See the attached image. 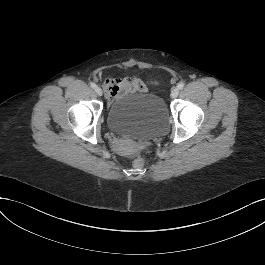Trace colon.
<instances>
[{
  "label": "colon",
  "instance_id": "obj_1",
  "mask_svg": "<svg viewBox=\"0 0 265 265\" xmlns=\"http://www.w3.org/2000/svg\"><path fill=\"white\" fill-rule=\"evenodd\" d=\"M150 152V148L149 147H144L142 149V155L137 157L133 164L136 168H141L144 164H145V156Z\"/></svg>",
  "mask_w": 265,
  "mask_h": 265
}]
</instances>
